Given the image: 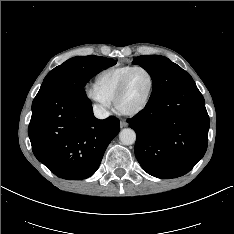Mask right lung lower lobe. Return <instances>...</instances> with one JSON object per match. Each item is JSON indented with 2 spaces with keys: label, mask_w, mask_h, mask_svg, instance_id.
Segmentation results:
<instances>
[{
  "label": "right lung lower lobe",
  "mask_w": 234,
  "mask_h": 234,
  "mask_svg": "<svg viewBox=\"0 0 234 234\" xmlns=\"http://www.w3.org/2000/svg\"><path fill=\"white\" fill-rule=\"evenodd\" d=\"M120 130L119 120H99L84 87L64 76L42 83L32 103L28 134L35 157L56 176L86 179Z\"/></svg>",
  "instance_id": "right-lung-lower-lobe-1"
}]
</instances>
